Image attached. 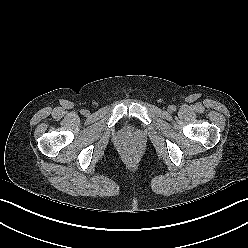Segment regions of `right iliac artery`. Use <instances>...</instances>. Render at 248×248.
<instances>
[{
  "mask_svg": "<svg viewBox=\"0 0 248 248\" xmlns=\"http://www.w3.org/2000/svg\"><path fill=\"white\" fill-rule=\"evenodd\" d=\"M80 112H81V114H85V110H84V109H83V110H81Z\"/></svg>",
  "mask_w": 248,
  "mask_h": 248,
  "instance_id": "obj_1",
  "label": "right iliac artery"
}]
</instances>
